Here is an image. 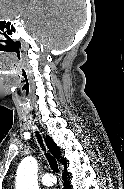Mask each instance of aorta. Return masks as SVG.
<instances>
[{
    "label": "aorta",
    "mask_w": 124,
    "mask_h": 189,
    "mask_svg": "<svg viewBox=\"0 0 124 189\" xmlns=\"http://www.w3.org/2000/svg\"><path fill=\"white\" fill-rule=\"evenodd\" d=\"M38 165L33 157L24 158L18 166L15 189H39L37 181Z\"/></svg>",
    "instance_id": "1"
}]
</instances>
